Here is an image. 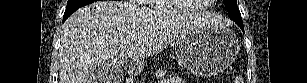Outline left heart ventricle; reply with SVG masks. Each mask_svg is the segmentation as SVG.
Instances as JSON below:
<instances>
[{
  "label": "left heart ventricle",
  "instance_id": "1",
  "mask_svg": "<svg viewBox=\"0 0 307 83\" xmlns=\"http://www.w3.org/2000/svg\"><path fill=\"white\" fill-rule=\"evenodd\" d=\"M199 1L200 0H181L180 5L183 9L189 10V9L199 6Z\"/></svg>",
  "mask_w": 307,
  "mask_h": 83
}]
</instances>
